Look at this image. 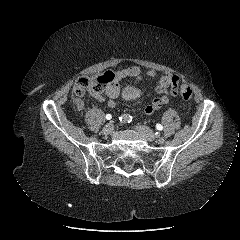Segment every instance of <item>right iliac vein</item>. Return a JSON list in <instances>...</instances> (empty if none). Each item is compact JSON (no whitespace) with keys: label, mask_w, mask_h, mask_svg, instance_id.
I'll list each match as a JSON object with an SVG mask.
<instances>
[{"label":"right iliac vein","mask_w":240,"mask_h":240,"mask_svg":"<svg viewBox=\"0 0 240 240\" xmlns=\"http://www.w3.org/2000/svg\"><path fill=\"white\" fill-rule=\"evenodd\" d=\"M114 129V124L112 122L110 123H107L104 127H103V133L108 135V134H111L112 131Z\"/></svg>","instance_id":"63e3f726"}]
</instances>
